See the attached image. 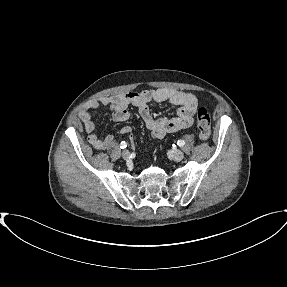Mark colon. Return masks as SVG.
<instances>
[{
	"mask_svg": "<svg viewBox=\"0 0 287 287\" xmlns=\"http://www.w3.org/2000/svg\"><path fill=\"white\" fill-rule=\"evenodd\" d=\"M197 127L199 137L202 140H208L211 135V117L204 107H200L197 111Z\"/></svg>",
	"mask_w": 287,
	"mask_h": 287,
	"instance_id": "obj_1",
	"label": "colon"
}]
</instances>
